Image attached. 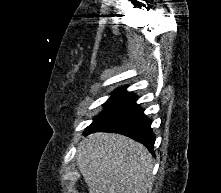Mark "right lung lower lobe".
Segmentation results:
<instances>
[{
  "mask_svg": "<svg viewBox=\"0 0 221 193\" xmlns=\"http://www.w3.org/2000/svg\"><path fill=\"white\" fill-rule=\"evenodd\" d=\"M136 101L137 99L105 118L93 122L86 128L85 134L94 132L123 134L142 143L154 154L155 135L151 129V120L144 115V110Z\"/></svg>",
  "mask_w": 221,
  "mask_h": 193,
  "instance_id": "obj_1",
  "label": "right lung lower lobe"
}]
</instances>
